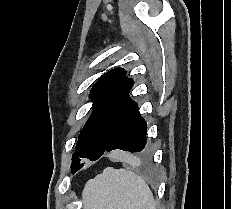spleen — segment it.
<instances>
[{
  "instance_id": "3e777b00",
  "label": "spleen",
  "mask_w": 233,
  "mask_h": 209,
  "mask_svg": "<svg viewBox=\"0 0 233 209\" xmlns=\"http://www.w3.org/2000/svg\"><path fill=\"white\" fill-rule=\"evenodd\" d=\"M84 209H156L146 182L126 169L107 167L86 182L82 192Z\"/></svg>"
}]
</instances>
